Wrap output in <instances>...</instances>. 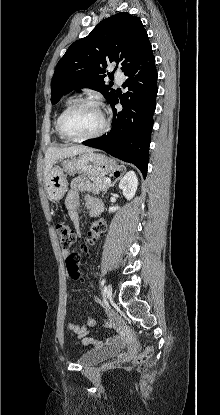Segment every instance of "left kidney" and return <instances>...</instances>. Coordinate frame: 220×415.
<instances>
[{"mask_svg": "<svg viewBox=\"0 0 220 415\" xmlns=\"http://www.w3.org/2000/svg\"><path fill=\"white\" fill-rule=\"evenodd\" d=\"M138 187V179L136 173L134 171L127 172L124 177L121 179L119 183V189L122 190L123 195L127 200H131ZM119 209V207H110L109 212H115Z\"/></svg>", "mask_w": 220, "mask_h": 415, "instance_id": "left-kidney-1", "label": "left kidney"}]
</instances>
